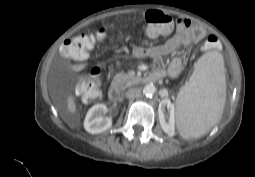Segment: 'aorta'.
<instances>
[{"instance_id": "762f6f07", "label": "aorta", "mask_w": 255, "mask_h": 177, "mask_svg": "<svg viewBox=\"0 0 255 177\" xmlns=\"http://www.w3.org/2000/svg\"><path fill=\"white\" fill-rule=\"evenodd\" d=\"M156 92V88L153 84H148L143 88V94L146 97H151L155 94Z\"/></svg>"}]
</instances>
